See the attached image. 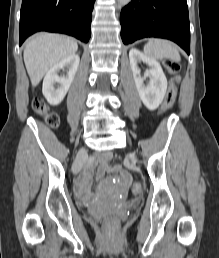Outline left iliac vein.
I'll return each mask as SVG.
<instances>
[{"label": "left iliac vein", "mask_w": 219, "mask_h": 258, "mask_svg": "<svg viewBox=\"0 0 219 258\" xmlns=\"http://www.w3.org/2000/svg\"><path fill=\"white\" fill-rule=\"evenodd\" d=\"M130 157H131L132 159H134V156H133V155H130Z\"/></svg>", "instance_id": "left-iliac-vein-1"}]
</instances>
